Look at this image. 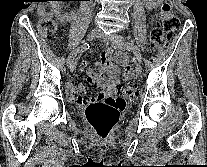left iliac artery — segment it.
I'll list each match as a JSON object with an SVG mask.
<instances>
[{
    "label": "left iliac artery",
    "mask_w": 207,
    "mask_h": 167,
    "mask_svg": "<svg viewBox=\"0 0 207 167\" xmlns=\"http://www.w3.org/2000/svg\"><path fill=\"white\" fill-rule=\"evenodd\" d=\"M124 48L128 49L129 51H132L135 54L137 60L139 62H142V56H141L140 50L138 49L136 45H134L133 43L127 42L124 45Z\"/></svg>",
    "instance_id": "obj_1"
}]
</instances>
